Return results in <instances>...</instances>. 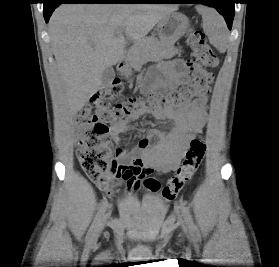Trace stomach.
Listing matches in <instances>:
<instances>
[{"label":"stomach","instance_id":"obj_1","mask_svg":"<svg viewBox=\"0 0 279 267\" xmlns=\"http://www.w3.org/2000/svg\"><path fill=\"white\" fill-rule=\"evenodd\" d=\"M188 18L179 12H170L166 14L158 23L157 31L162 46L171 47L188 30ZM123 74L126 77L131 76V71L125 69Z\"/></svg>","mask_w":279,"mask_h":267}]
</instances>
